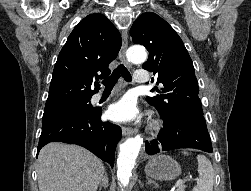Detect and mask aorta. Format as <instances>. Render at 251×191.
<instances>
[{"label": "aorta", "instance_id": "aorta-1", "mask_svg": "<svg viewBox=\"0 0 251 191\" xmlns=\"http://www.w3.org/2000/svg\"><path fill=\"white\" fill-rule=\"evenodd\" d=\"M126 56L132 64H143V62L147 60V52H145V48H141V46L128 48ZM141 143H143V137L137 133L135 137H129V139H126V141L120 145V153L117 157V175L123 185L129 183L131 171L135 165Z\"/></svg>", "mask_w": 251, "mask_h": 191}]
</instances>
